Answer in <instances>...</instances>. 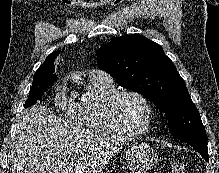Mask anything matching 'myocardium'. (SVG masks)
Returning a JSON list of instances; mask_svg holds the SVG:
<instances>
[{"instance_id":"myocardium-1","label":"myocardium","mask_w":219,"mask_h":173,"mask_svg":"<svg viewBox=\"0 0 219 173\" xmlns=\"http://www.w3.org/2000/svg\"><path fill=\"white\" fill-rule=\"evenodd\" d=\"M127 95H131L139 98L144 103L147 109L148 116H147L146 124L144 128H142L139 131H129L123 128L119 122L117 115V107L120 100ZM105 114L108 122L118 134L129 138H137V137H142L151 131L155 118V109L152 102L143 93L133 89H123L116 91L113 95H111L107 99L105 103Z\"/></svg>"}]
</instances>
